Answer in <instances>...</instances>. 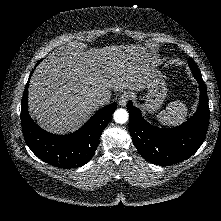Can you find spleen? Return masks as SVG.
<instances>
[{
	"label": "spleen",
	"instance_id": "1",
	"mask_svg": "<svg viewBox=\"0 0 221 221\" xmlns=\"http://www.w3.org/2000/svg\"><path fill=\"white\" fill-rule=\"evenodd\" d=\"M187 107L183 102H172L166 110L161 111L157 115L158 121L163 126H178L182 124L187 118Z\"/></svg>",
	"mask_w": 221,
	"mask_h": 221
}]
</instances>
